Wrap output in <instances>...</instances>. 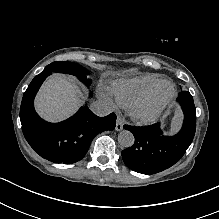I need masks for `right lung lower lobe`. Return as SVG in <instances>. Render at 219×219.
Masks as SVG:
<instances>
[{
	"instance_id": "98d812e1",
	"label": "right lung lower lobe",
	"mask_w": 219,
	"mask_h": 219,
	"mask_svg": "<svg viewBox=\"0 0 219 219\" xmlns=\"http://www.w3.org/2000/svg\"><path fill=\"white\" fill-rule=\"evenodd\" d=\"M50 74L43 70L35 76L23 95L20 108L23 134L41 157L55 163H75L85 156L97 134L114 130L116 115L98 117L84 106L63 122L44 121L35 112L33 103L38 89Z\"/></svg>"
}]
</instances>
